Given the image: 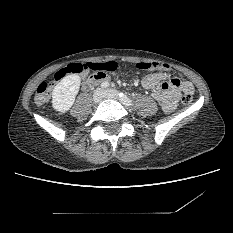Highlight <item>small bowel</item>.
Wrapping results in <instances>:
<instances>
[{"label":"small bowel","instance_id":"c3829d8e","mask_svg":"<svg viewBox=\"0 0 233 233\" xmlns=\"http://www.w3.org/2000/svg\"><path fill=\"white\" fill-rule=\"evenodd\" d=\"M105 65L109 68H116L117 62L111 59L105 62ZM93 66L94 63H85L82 75H86L89 70H95ZM169 77V71H156L149 73L142 80L143 88L152 92V98L160 104L162 110L166 113L175 110L182 93L193 94L194 92L190 81L176 77L168 79Z\"/></svg>","mask_w":233,"mask_h":233}]
</instances>
